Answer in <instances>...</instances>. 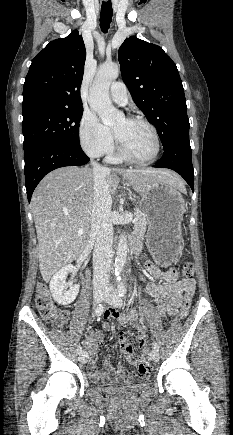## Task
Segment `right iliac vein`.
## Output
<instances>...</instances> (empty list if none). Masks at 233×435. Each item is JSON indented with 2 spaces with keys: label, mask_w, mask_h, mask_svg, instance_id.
<instances>
[{
  "label": "right iliac vein",
  "mask_w": 233,
  "mask_h": 435,
  "mask_svg": "<svg viewBox=\"0 0 233 435\" xmlns=\"http://www.w3.org/2000/svg\"><path fill=\"white\" fill-rule=\"evenodd\" d=\"M93 298L95 303H100L103 299V292L102 291L94 292ZM79 360L82 364H85L88 361V353L85 351L82 352L79 356Z\"/></svg>",
  "instance_id": "63e3f726"
}]
</instances>
